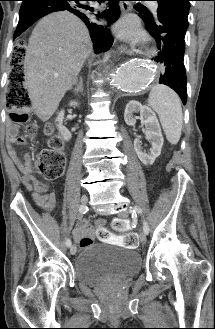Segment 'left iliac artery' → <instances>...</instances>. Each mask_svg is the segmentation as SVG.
Listing matches in <instances>:
<instances>
[{
	"instance_id": "1",
	"label": "left iliac artery",
	"mask_w": 215,
	"mask_h": 329,
	"mask_svg": "<svg viewBox=\"0 0 215 329\" xmlns=\"http://www.w3.org/2000/svg\"><path fill=\"white\" fill-rule=\"evenodd\" d=\"M130 212L138 213L142 215V209L139 206L130 207ZM143 230L145 234L149 233V225L145 219L143 220Z\"/></svg>"
}]
</instances>
